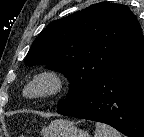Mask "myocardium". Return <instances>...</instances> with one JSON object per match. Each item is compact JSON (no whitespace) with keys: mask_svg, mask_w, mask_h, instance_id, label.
<instances>
[{"mask_svg":"<svg viewBox=\"0 0 144 137\" xmlns=\"http://www.w3.org/2000/svg\"><path fill=\"white\" fill-rule=\"evenodd\" d=\"M44 85L42 90L35 89ZM64 88V79L55 70H43L34 74L24 87V95L30 99H49L57 96Z\"/></svg>","mask_w":144,"mask_h":137,"instance_id":"myocardium-1","label":"myocardium"}]
</instances>
